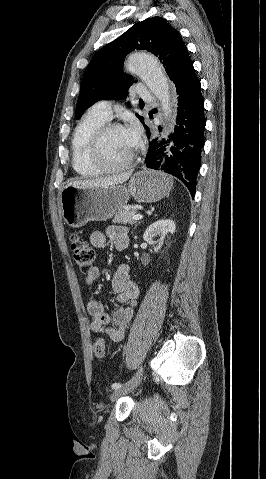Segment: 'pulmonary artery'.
<instances>
[{"instance_id":"1","label":"pulmonary artery","mask_w":266,"mask_h":479,"mask_svg":"<svg viewBox=\"0 0 266 479\" xmlns=\"http://www.w3.org/2000/svg\"><path fill=\"white\" fill-rule=\"evenodd\" d=\"M137 93L141 99H153L152 92L147 88L140 87L137 89ZM91 111L104 119L109 120L112 117L111 102L105 100L99 101L91 108Z\"/></svg>"}]
</instances>
